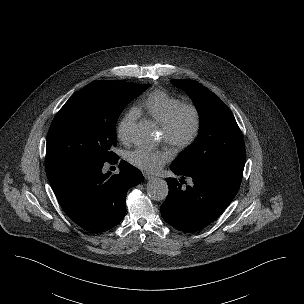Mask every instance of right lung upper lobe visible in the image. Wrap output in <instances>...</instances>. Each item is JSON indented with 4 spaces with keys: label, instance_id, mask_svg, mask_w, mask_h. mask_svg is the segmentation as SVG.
I'll use <instances>...</instances> for the list:
<instances>
[{
    "label": "right lung upper lobe",
    "instance_id": "cb5924a9",
    "mask_svg": "<svg viewBox=\"0 0 304 304\" xmlns=\"http://www.w3.org/2000/svg\"><path fill=\"white\" fill-rule=\"evenodd\" d=\"M64 170H66V169L48 166V167H46V174H47L48 179H52L54 176L62 173Z\"/></svg>",
    "mask_w": 304,
    "mask_h": 304
}]
</instances>
